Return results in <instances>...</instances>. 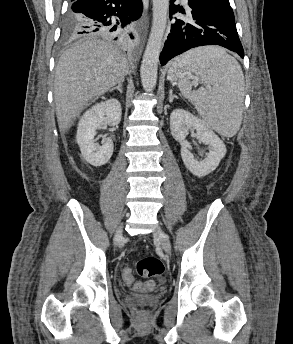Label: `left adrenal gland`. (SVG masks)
<instances>
[{
    "instance_id": "a2214340",
    "label": "left adrenal gland",
    "mask_w": 293,
    "mask_h": 344,
    "mask_svg": "<svg viewBox=\"0 0 293 344\" xmlns=\"http://www.w3.org/2000/svg\"><path fill=\"white\" fill-rule=\"evenodd\" d=\"M174 99H178L176 95H173V91H169V102L172 103Z\"/></svg>"
}]
</instances>
